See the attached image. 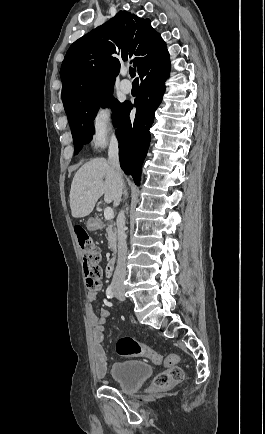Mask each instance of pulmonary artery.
<instances>
[{
	"label": "pulmonary artery",
	"mask_w": 265,
	"mask_h": 434,
	"mask_svg": "<svg viewBox=\"0 0 265 434\" xmlns=\"http://www.w3.org/2000/svg\"><path fill=\"white\" fill-rule=\"evenodd\" d=\"M128 75L125 74V78H127ZM131 87L132 84L130 81H122L120 84V90L124 93V94H129L131 91Z\"/></svg>",
	"instance_id": "1"
}]
</instances>
